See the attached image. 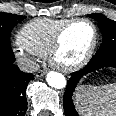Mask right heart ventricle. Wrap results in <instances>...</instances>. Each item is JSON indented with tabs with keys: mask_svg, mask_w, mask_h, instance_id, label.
I'll return each mask as SVG.
<instances>
[{
	"mask_svg": "<svg viewBox=\"0 0 116 116\" xmlns=\"http://www.w3.org/2000/svg\"><path fill=\"white\" fill-rule=\"evenodd\" d=\"M69 19H35L25 24L18 33V44L39 57L48 56L57 31Z\"/></svg>",
	"mask_w": 116,
	"mask_h": 116,
	"instance_id": "e07e8e85",
	"label": "right heart ventricle"
}]
</instances>
